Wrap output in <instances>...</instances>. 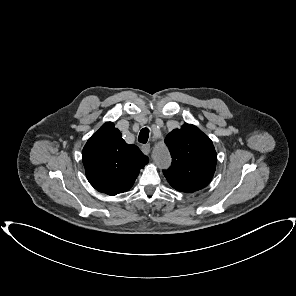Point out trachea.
<instances>
[{
  "label": "trachea",
  "mask_w": 296,
  "mask_h": 296,
  "mask_svg": "<svg viewBox=\"0 0 296 296\" xmlns=\"http://www.w3.org/2000/svg\"><path fill=\"white\" fill-rule=\"evenodd\" d=\"M149 138V129L148 128H143L138 136V141L140 143H146L148 141Z\"/></svg>",
  "instance_id": "trachea-1"
}]
</instances>
